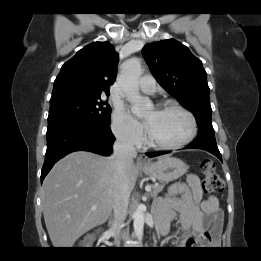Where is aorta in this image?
Listing matches in <instances>:
<instances>
[{
  "label": "aorta",
  "instance_id": "aorta-1",
  "mask_svg": "<svg viewBox=\"0 0 261 261\" xmlns=\"http://www.w3.org/2000/svg\"><path fill=\"white\" fill-rule=\"evenodd\" d=\"M142 74L141 62L138 58H132L122 64L119 82L125 98L136 105L139 109L134 111L137 116L143 114L144 110L151 107V101L142 97L139 93L138 80ZM133 227L136 236L141 239L144 230V207L139 205L133 214Z\"/></svg>",
  "mask_w": 261,
  "mask_h": 261
}]
</instances>
